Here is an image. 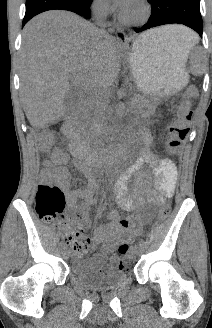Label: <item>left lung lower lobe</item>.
Here are the masks:
<instances>
[{"label":"left lung lower lobe","instance_id":"0a47b994","mask_svg":"<svg viewBox=\"0 0 212 328\" xmlns=\"http://www.w3.org/2000/svg\"><path fill=\"white\" fill-rule=\"evenodd\" d=\"M151 5V16L148 22L134 32L164 25L178 23L195 30L201 37L203 22L200 14L199 0H147Z\"/></svg>","mask_w":212,"mask_h":328}]
</instances>
